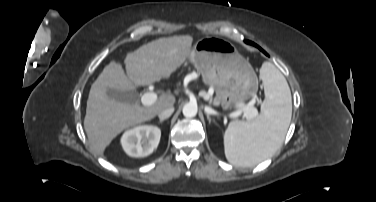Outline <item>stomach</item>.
I'll use <instances>...</instances> for the list:
<instances>
[{"label":"stomach","instance_id":"obj_1","mask_svg":"<svg viewBox=\"0 0 376 202\" xmlns=\"http://www.w3.org/2000/svg\"><path fill=\"white\" fill-rule=\"evenodd\" d=\"M188 58L203 82L214 87L224 108L257 93L258 80L252 66L228 40L202 38L194 44Z\"/></svg>","mask_w":376,"mask_h":202}]
</instances>
